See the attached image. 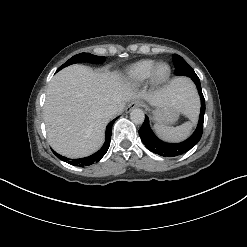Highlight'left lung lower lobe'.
<instances>
[{
  "label": "left lung lower lobe",
  "instance_id": "0a47b994",
  "mask_svg": "<svg viewBox=\"0 0 247 247\" xmlns=\"http://www.w3.org/2000/svg\"><path fill=\"white\" fill-rule=\"evenodd\" d=\"M190 78L194 81L197 86L198 93L201 99V112L199 117L198 126L195 132L187 140L181 143H166L159 140L154 133L152 132L149 126V119L145 115V120L139 129V136L148 150L151 152L164 156L172 157L181 155L188 150H190L194 145H196L201 139L203 132V122H204V113H205V99L202 94L200 80L197 75H192Z\"/></svg>",
  "mask_w": 247,
  "mask_h": 247
}]
</instances>
